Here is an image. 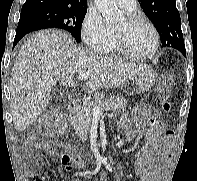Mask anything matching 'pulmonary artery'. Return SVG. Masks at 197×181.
Returning <instances> with one entry per match:
<instances>
[{
	"label": "pulmonary artery",
	"instance_id": "obj_1",
	"mask_svg": "<svg viewBox=\"0 0 197 181\" xmlns=\"http://www.w3.org/2000/svg\"><path fill=\"white\" fill-rule=\"evenodd\" d=\"M119 7L126 13L132 14L137 8L136 0H116Z\"/></svg>",
	"mask_w": 197,
	"mask_h": 181
}]
</instances>
